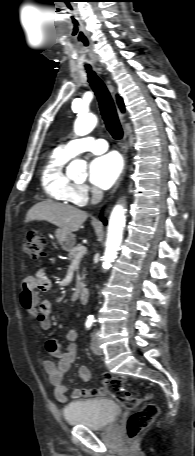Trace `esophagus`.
<instances>
[{
  "label": "esophagus",
  "instance_id": "34e87169",
  "mask_svg": "<svg viewBox=\"0 0 195 456\" xmlns=\"http://www.w3.org/2000/svg\"><path fill=\"white\" fill-rule=\"evenodd\" d=\"M119 118H120L121 122L123 123V122H124V114L121 113L120 111H119ZM126 139H127V133H126V131L124 130L123 140H124V144H125V145H126ZM125 159H127V157H125ZM125 171H126V166H125V168H124V170H123L121 176L119 177L118 181L116 182L114 188L112 189V191H111V196L115 193V191H116L117 188L119 187V185H120V183H121V181H122V179H123V177H124V175H125Z\"/></svg>",
  "mask_w": 195,
  "mask_h": 456
}]
</instances>
